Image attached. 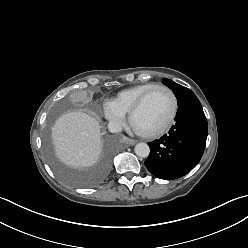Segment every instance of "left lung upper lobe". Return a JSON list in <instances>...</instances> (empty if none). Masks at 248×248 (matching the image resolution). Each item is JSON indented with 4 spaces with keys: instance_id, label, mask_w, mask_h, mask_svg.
<instances>
[{
    "instance_id": "5c2ea615",
    "label": "left lung upper lobe",
    "mask_w": 248,
    "mask_h": 248,
    "mask_svg": "<svg viewBox=\"0 0 248 248\" xmlns=\"http://www.w3.org/2000/svg\"><path fill=\"white\" fill-rule=\"evenodd\" d=\"M162 82H163L164 85L169 87L174 92V94H175V96L177 98V102L182 101L188 95H190L191 92H192L190 89H188V88H186V87H184L182 85H179V84L173 82L170 79L163 78Z\"/></svg>"
}]
</instances>
